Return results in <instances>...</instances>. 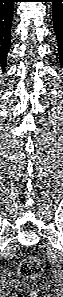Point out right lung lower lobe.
<instances>
[{"mask_svg": "<svg viewBox=\"0 0 63 297\" xmlns=\"http://www.w3.org/2000/svg\"><path fill=\"white\" fill-rule=\"evenodd\" d=\"M15 0H0V66L6 67L10 47V33Z\"/></svg>", "mask_w": 63, "mask_h": 297, "instance_id": "98d812e1", "label": "right lung lower lobe"}]
</instances>
